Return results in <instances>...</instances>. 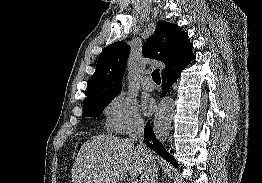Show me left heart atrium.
<instances>
[{"label":"left heart atrium","instance_id":"1","mask_svg":"<svg viewBox=\"0 0 262 183\" xmlns=\"http://www.w3.org/2000/svg\"><path fill=\"white\" fill-rule=\"evenodd\" d=\"M154 107H155V103L152 98L147 97L143 100L142 108L146 115H150L153 112Z\"/></svg>","mask_w":262,"mask_h":183}]
</instances>
